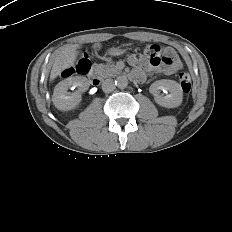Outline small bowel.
<instances>
[{"mask_svg": "<svg viewBox=\"0 0 232 232\" xmlns=\"http://www.w3.org/2000/svg\"><path fill=\"white\" fill-rule=\"evenodd\" d=\"M166 52L172 55L175 59V68H179L181 63L176 52L172 48H165ZM129 62L135 67V70L130 73V81L136 84H146L154 77L160 75V67L153 66L148 58L143 54H136L130 57Z\"/></svg>", "mask_w": 232, "mask_h": 232, "instance_id": "c3829d8e", "label": "small bowel"}]
</instances>
